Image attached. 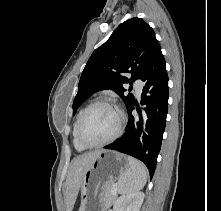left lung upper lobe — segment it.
Wrapping results in <instances>:
<instances>
[{
  "instance_id": "1",
  "label": "left lung upper lobe",
  "mask_w": 221,
  "mask_h": 211,
  "mask_svg": "<svg viewBox=\"0 0 221 211\" xmlns=\"http://www.w3.org/2000/svg\"><path fill=\"white\" fill-rule=\"evenodd\" d=\"M160 50L153 29L141 18L121 23L89 58L79 81L73 114L89 95L103 89L114 90L128 107L134 96L124 95L123 84L141 79ZM124 73H130L131 78Z\"/></svg>"
}]
</instances>
